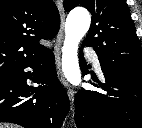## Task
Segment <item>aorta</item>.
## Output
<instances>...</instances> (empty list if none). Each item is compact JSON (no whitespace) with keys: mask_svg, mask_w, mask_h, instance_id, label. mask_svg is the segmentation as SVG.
Returning a JSON list of instances; mask_svg holds the SVG:
<instances>
[{"mask_svg":"<svg viewBox=\"0 0 142 128\" xmlns=\"http://www.w3.org/2000/svg\"><path fill=\"white\" fill-rule=\"evenodd\" d=\"M91 17L87 10L72 11L65 25V40L62 48V71L67 81L78 86L81 82V71L78 61V45L89 30Z\"/></svg>","mask_w":142,"mask_h":128,"instance_id":"aorta-1","label":"aorta"}]
</instances>
